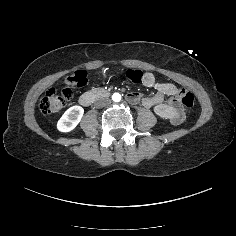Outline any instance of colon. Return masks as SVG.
Masks as SVG:
<instances>
[{
	"instance_id": "colon-1",
	"label": "colon",
	"mask_w": 236,
	"mask_h": 236,
	"mask_svg": "<svg viewBox=\"0 0 236 236\" xmlns=\"http://www.w3.org/2000/svg\"><path fill=\"white\" fill-rule=\"evenodd\" d=\"M127 78L133 83H138L144 78L141 70L129 69L126 72ZM88 75L86 71L80 70L70 73L66 78V83L71 87H80L87 83ZM152 78V77H151ZM181 103L187 107L192 108L195 102L194 96L191 92L180 90L178 92ZM72 97V92L69 87L63 89H50L40 101V110L49 116L59 115Z\"/></svg>"
}]
</instances>
